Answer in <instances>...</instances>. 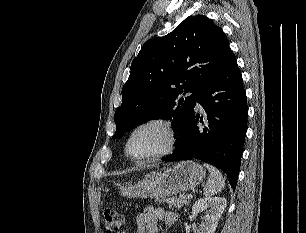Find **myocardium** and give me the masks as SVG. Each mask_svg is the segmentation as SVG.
I'll return each instance as SVG.
<instances>
[{
    "label": "myocardium",
    "mask_w": 306,
    "mask_h": 233,
    "mask_svg": "<svg viewBox=\"0 0 306 233\" xmlns=\"http://www.w3.org/2000/svg\"><path fill=\"white\" fill-rule=\"evenodd\" d=\"M149 125H159L164 128V130L167 133V144L163 150L157 153H154L152 155H148L145 157L135 158L129 152V143L137 131ZM177 140H178V132H177V129L174 123L170 119L166 117H161V116L152 117V118H149V119H146L140 122L130 131L129 135L126 138L125 144H124V153L131 161H134V162L150 161L153 159L164 157L172 153L177 145Z\"/></svg>",
    "instance_id": "f54148a6"
}]
</instances>
